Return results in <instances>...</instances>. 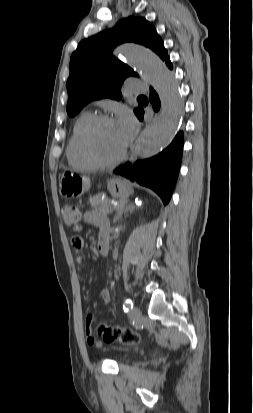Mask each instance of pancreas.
Returning a JSON list of instances; mask_svg holds the SVG:
<instances>
[{"label":"pancreas","mask_w":253,"mask_h":413,"mask_svg":"<svg viewBox=\"0 0 253 413\" xmlns=\"http://www.w3.org/2000/svg\"><path fill=\"white\" fill-rule=\"evenodd\" d=\"M102 193H98L97 195L91 197L89 202L91 206L104 214H109L112 212L113 208L111 205V200L109 198H102Z\"/></svg>","instance_id":"cf45deb5"}]
</instances>
